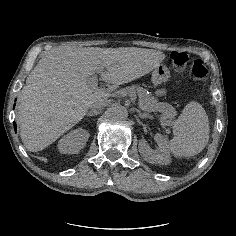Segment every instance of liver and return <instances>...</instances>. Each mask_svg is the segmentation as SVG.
<instances>
[{
  "mask_svg": "<svg viewBox=\"0 0 236 236\" xmlns=\"http://www.w3.org/2000/svg\"><path fill=\"white\" fill-rule=\"evenodd\" d=\"M147 48L66 47L48 52L21 90L18 113L21 140L28 151H42L72 129L88 109L108 102L111 92L149 70L140 65ZM100 73L112 85L91 86Z\"/></svg>",
  "mask_w": 236,
  "mask_h": 236,
  "instance_id": "1",
  "label": "liver"
}]
</instances>
